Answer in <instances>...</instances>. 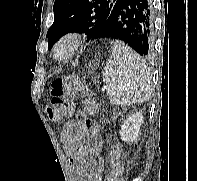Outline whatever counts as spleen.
Segmentation results:
<instances>
[{
  "instance_id": "1",
  "label": "spleen",
  "mask_w": 197,
  "mask_h": 181,
  "mask_svg": "<svg viewBox=\"0 0 197 181\" xmlns=\"http://www.w3.org/2000/svg\"><path fill=\"white\" fill-rule=\"evenodd\" d=\"M110 103L133 105L151 96L152 77L144 60L121 41H115L103 72Z\"/></svg>"
}]
</instances>
